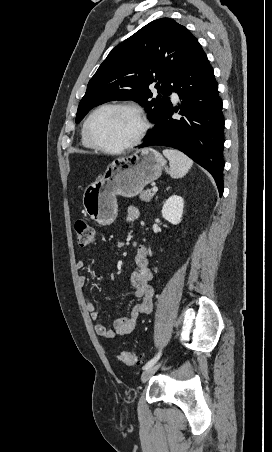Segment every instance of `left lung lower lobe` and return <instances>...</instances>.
<instances>
[{
	"label": "left lung lower lobe",
	"instance_id": "1",
	"mask_svg": "<svg viewBox=\"0 0 272 452\" xmlns=\"http://www.w3.org/2000/svg\"><path fill=\"white\" fill-rule=\"evenodd\" d=\"M181 106L168 104L139 147L169 146L181 150L214 177L223 193L224 117L218 84L206 54L197 43L171 90ZM181 115L173 119L172 114Z\"/></svg>",
	"mask_w": 272,
	"mask_h": 452
}]
</instances>
